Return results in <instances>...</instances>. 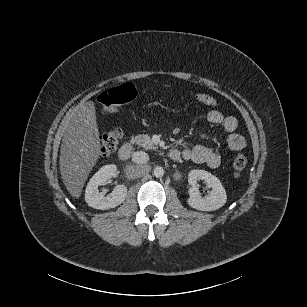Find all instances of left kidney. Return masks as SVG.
<instances>
[{
	"mask_svg": "<svg viewBox=\"0 0 307 307\" xmlns=\"http://www.w3.org/2000/svg\"><path fill=\"white\" fill-rule=\"evenodd\" d=\"M203 180L211 192L204 197L198 191V182ZM188 181L192 185L189 189L187 204L198 211H214L223 207L227 201L225 189L219 179L204 170H192L188 175Z\"/></svg>",
	"mask_w": 307,
	"mask_h": 307,
	"instance_id": "obj_1",
	"label": "left kidney"
}]
</instances>
